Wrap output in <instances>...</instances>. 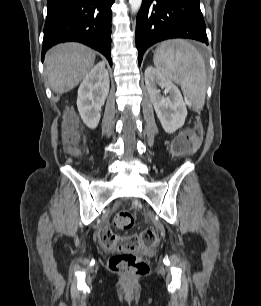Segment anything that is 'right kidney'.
Returning a JSON list of instances; mask_svg holds the SVG:
<instances>
[{
  "label": "right kidney",
  "instance_id": "ca27d5eb",
  "mask_svg": "<svg viewBox=\"0 0 261 306\" xmlns=\"http://www.w3.org/2000/svg\"><path fill=\"white\" fill-rule=\"evenodd\" d=\"M109 92V74L105 62H99L86 75L78 89L77 107L83 122L95 129L101 108Z\"/></svg>",
  "mask_w": 261,
  "mask_h": 306
}]
</instances>
